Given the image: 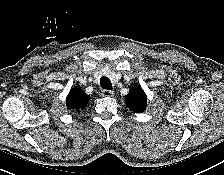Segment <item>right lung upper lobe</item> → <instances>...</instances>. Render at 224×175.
I'll list each match as a JSON object with an SVG mask.
<instances>
[{"mask_svg": "<svg viewBox=\"0 0 224 175\" xmlns=\"http://www.w3.org/2000/svg\"><path fill=\"white\" fill-rule=\"evenodd\" d=\"M90 97L86 95L82 89L80 88H73L67 98L66 104L68 109H83L86 107V104L89 102Z\"/></svg>", "mask_w": 224, "mask_h": 175, "instance_id": "cb5924a9", "label": "right lung upper lobe"}]
</instances>
